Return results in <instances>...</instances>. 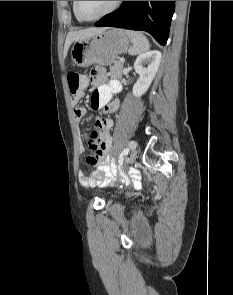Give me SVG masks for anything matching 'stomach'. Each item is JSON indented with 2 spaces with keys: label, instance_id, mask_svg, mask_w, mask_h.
I'll use <instances>...</instances> for the list:
<instances>
[{
  "label": "stomach",
  "instance_id": "0dacf381",
  "mask_svg": "<svg viewBox=\"0 0 233 295\" xmlns=\"http://www.w3.org/2000/svg\"><path fill=\"white\" fill-rule=\"evenodd\" d=\"M129 45L130 38L125 30L105 28L91 37L75 41L71 49V59L78 67L110 65L118 55L127 52Z\"/></svg>",
  "mask_w": 233,
  "mask_h": 295
}]
</instances>
